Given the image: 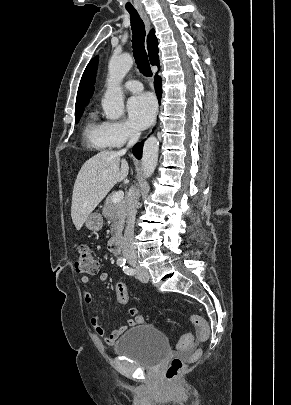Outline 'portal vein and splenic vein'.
I'll list each match as a JSON object with an SVG mask.
<instances>
[{
  "label": "portal vein and splenic vein",
  "instance_id": "1",
  "mask_svg": "<svg viewBox=\"0 0 291 405\" xmlns=\"http://www.w3.org/2000/svg\"><path fill=\"white\" fill-rule=\"evenodd\" d=\"M124 198V192L123 191H118L116 192L113 197H112V202L113 203H119L123 200Z\"/></svg>",
  "mask_w": 291,
  "mask_h": 405
}]
</instances>
